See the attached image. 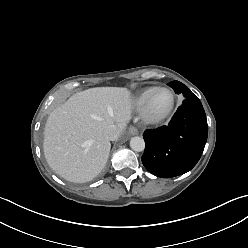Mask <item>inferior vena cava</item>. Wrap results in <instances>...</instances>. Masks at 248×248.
I'll return each instance as SVG.
<instances>
[{
  "label": "inferior vena cava",
  "mask_w": 248,
  "mask_h": 248,
  "mask_svg": "<svg viewBox=\"0 0 248 248\" xmlns=\"http://www.w3.org/2000/svg\"><path fill=\"white\" fill-rule=\"evenodd\" d=\"M119 134L120 131L115 125H109L103 131V136L109 141L118 139Z\"/></svg>",
  "instance_id": "602c4592"
}]
</instances>
